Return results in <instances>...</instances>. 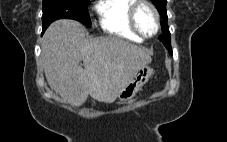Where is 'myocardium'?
I'll return each instance as SVG.
<instances>
[{
  "mask_svg": "<svg viewBox=\"0 0 227 142\" xmlns=\"http://www.w3.org/2000/svg\"><path fill=\"white\" fill-rule=\"evenodd\" d=\"M142 7H147L149 8L155 17V22H156V28L155 31L152 34H145L139 27L138 22H137V15L139 10ZM128 19H129V25L131 27V29L133 30V32H135L138 36H140L143 39H149L152 38L154 36H156L160 30V14L157 10V8L155 7L154 4H152L151 2H149L148 0H136L135 3L130 7L129 12H128Z\"/></svg>",
  "mask_w": 227,
  "mask_h": 142,
  "instance_id": "1",
  "label": "myocardium"
}]
</instances>
